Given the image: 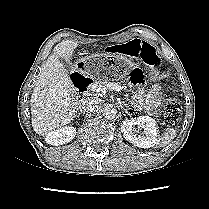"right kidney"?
Returning a JSON list of instances; mask_svg holds the SVG:
<instances>
[{
    "mask_svg": "<svg viewBox=\"0 0 209 209\" xmlns=\"http://www.w3.org/2000/svg\"><path fill=\"white\" fill-rule=\"evenodd\" d=\"M75 135H76V129L74 127L64 126L48 133L46 135L45 141L48 144L59 146L72 141Z\"/></svg>",
    "mask_w": 209,
    "mask_h": 209,
    "instance_id": "obj_1",
    "label": "right kidney"
}]
</instances>
